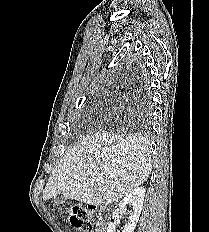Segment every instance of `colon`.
<instances>
[{"label":"colon","mask_w":209,"mask_h":232,"mask_svg":"<svg viewBox=\"0 0 209 232\" xmlns=\"http://www.w3.org/2000/svg\"><path fill=\"white\" fill-rule=\"evenodd\" d=\"M94 207H74L69 214L71 225L81 232H92L93 217L97 215Z\"/></svg>","instance_id":"5ec220e1"}]
</instances>
